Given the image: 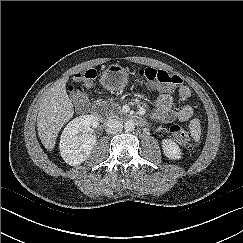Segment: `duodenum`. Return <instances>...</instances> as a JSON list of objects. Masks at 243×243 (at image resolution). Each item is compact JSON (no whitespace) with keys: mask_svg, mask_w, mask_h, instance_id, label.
<instances>
[{"mask_svg":"<svg viewBox=\"0 0 243 243\" xmlns=\"http://www.w3.org/2000/svg\"><path fill=\"white\" fill-rule=\"evenodd\" d=\"M94 117L100 118L101 117V112L95 108L90 112ZM128 119L133 120L139 124H143V119L139 115H129Z\"/></svg>","mask_w":243,"mask_h":243,"instance_id":"duodenum-1","label":"duodenum"}]
</instances>
